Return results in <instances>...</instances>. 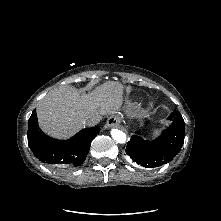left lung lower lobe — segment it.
Returning a JSON list of instances; mask_svg holds the SVG:
<instances>
[{"label":"left lung lower lobe","mask_w":221,"mask_h":221,"mask_svg":"<svg viewBox=\"0 0 221 221\" xmlns=\"http://www.w3.org/2000/svg\"><path fill=\"white\" fill-rule=\"evenodd\" d=\"M172 125L165 129L155 140L143 139L138 131L127 143V155L138 165L146 168L159 167L170 162L180 151L185 136V122L179 112L169 117Z\"/></svg>","instance_id":"1"}]
</instances>
